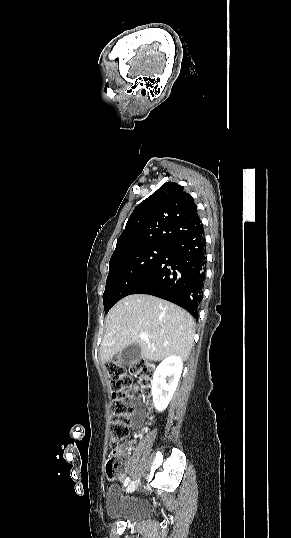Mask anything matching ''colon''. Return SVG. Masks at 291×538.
<instances>
[{
  "mask_svg": "<svg viewBox=\"0 0 291 538\" xmlns=\"http://www.w3.org/2000/svg\"><path fill=\"white\" fill-rule=\"evenodd\" d=\"M109 386L112 394V419L109 424V439L112 452L107 458L106 473L110 478H119L123 475L124 465L118 456V448L129 435L131 422L129 417L133 414V407L128 400L131 397L130 388L132 377L138 378L146 391L153 379L155 368L148 360L132 362L129 371L116 360L109 361L105 366Z\"/></svg>",
  "mask_w": 291,
  "mask_h": 538,
  "instance_id": "1",
  "label": "colon"
}]
</instances>
